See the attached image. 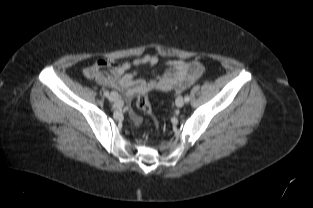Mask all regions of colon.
<instances>
[{"label": "colon", "instance_id": "1", "mask_svg": "<svg viewBox=\"0 0 313 208\" xmlns=\"http://www.w3.org/2000/svg\"><path fill=\"white\" fill-rule=\"evenodd\" d=\"M137 108L146 115H152V108L146 92H141L136 98ZM155 125L157 129L159 128V123L155 120Z\"/></svg>", "mask_w": 313, "mask_h": 208}]
</instances>
